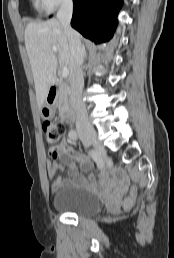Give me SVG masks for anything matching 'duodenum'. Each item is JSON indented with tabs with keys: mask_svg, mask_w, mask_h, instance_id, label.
<instances>
[{
	"mask_svg": "<svg viewBox=\"0 0 174 258\" xmlns=\"http://www.w3.org/2000/svg\"><path fill=\"white\" fill-rule=\"evenodd\" d=\"M63 92V86L60 84L53 85L48 90V100L51 105L57 102L58 97ZM64 120L67 123H73L75 121V110L73 107H67L63 113Z\"/></svg>",
	"mask_w": 174,
	"mask_h": 258,
	"instance_id": "1",
	"label": "duodenum"
}]
</instances>
